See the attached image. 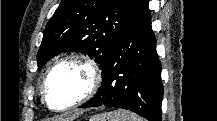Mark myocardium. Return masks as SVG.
<instances>
[{"mask_svg": "<svg viewBox=\"0 0 217 121\" xmlns=\"http://www.w3.org/2000/svg\"><path fill=\"white\" fill-rule=\"evenodd\" d=\"M68 64H79L86 67L90 72L91 80L87 90L78 99L66 106L57 108L50 102L48 92L49 82L58 68ZM101 83L102 72L95 59L81 53L71 54L56 61L48 70L42 85L43 99L50 110L55 112H65L88 101L99 90Z\"/></svg>", "mask_w": 217, "mask_h": 121, "instance_id": "myocardium-1", "label": "myocardium"}]
</instances>
